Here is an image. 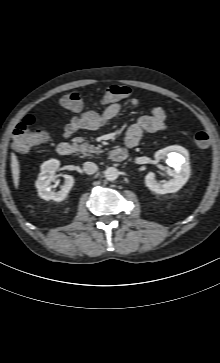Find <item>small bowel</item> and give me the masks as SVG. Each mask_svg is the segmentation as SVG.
Instances as JSON below:
<instances>
[{
	"label": "small bowel",
	"mask_w": 220,
	"mask_h": 363,
	"mask_svg": "<svg viewBox=\"0 0 220 363\" xmlns=\"http://www.w3.org/2000/svg\"><path fill=\"white\" fill-rule=\"evenodd\" d=\"M131 106L139 105V99L129 100ZM121 102H111L102 112L85 111L78 117L72 118L64 128V136L69 138L78 129L95 130L107 121L115 118L121 112ZM166 128V115L161 107H154L149 114L142 116L130 126L125 137V143L129 148L136 147L144 133L161 132Z\"/></svg>",
	"instance_id": "small-bowel-1"
}]
</instances>
